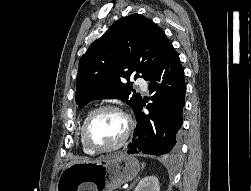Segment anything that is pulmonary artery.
Listing matches in <instances>:
<instances>
[{
    "label": "pulmonary artery",
    "instance_id": "e3ab8cb5",
    "mask_svg": "<svg viewBox=\"0 0 251 191\" xmlns=\"http://www.w3.org/2000/svg\"><path fill=\"white\" fill-rule=\"evenodd\" d=\"M138 85L143 90H147V83L143 80V77H138Z\"/></svg>",
    "mask_w": 251,
    "mask_h": 191
}]
</instances>
